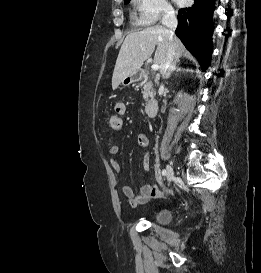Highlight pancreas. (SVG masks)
<instances>
[{"label":"pancreas","mask_w":261,"mask_h":273,"mask_svg":"<svg viewBox=\"0 0 261 273\" xmlns=\"http://www.w3.org/2000/svg\"><path fill=\"white\" fill-rule=\"evenodd\" d=\"M142 93H143V98H144L145 101H147L148 98L153 95V83H152V81L145 80Z\"/></svg>","instance_id":"cf45deb5"}]
</instances>
